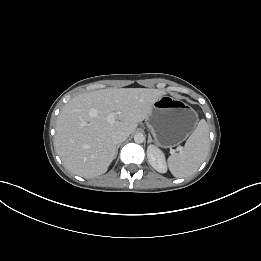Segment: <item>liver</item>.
Returning <instances> with one entry per match:
<instances>
[{
  "instance_id": "6515ba94",
  "label": "liver",
  "mask_w": 261,
  "mask_h": 261,
  "mask_svg": "<svg viewBox=\"0 0 261 261\" xmlns=\"http://www.w3.org/2000/svg\"><path fill=\"white\" fill-rule=\"evenodd\" d=\"M164 94L158 89L108 88L72 98L55 127V149L64 166L84 178L104 174L115 158L112 135L133 133ZM110 113H116L113 123L107 120Z\"/></svg>"
}]
</instances>
